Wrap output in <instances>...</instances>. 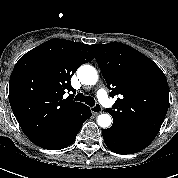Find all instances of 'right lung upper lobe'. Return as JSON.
<instances>
[{"mask_svg":"<svg viewBox=\"0 0 178 178\" xmlns=\"http://www.w3.org/2000/svg\"><path fill=\"white\" fill-rule=\"evenodd\" d=\"M94 59L90 45L51 39L27 52L16 63L9 81V101L25 135L35 144L70 134L85 109L66 99L73 91L71 77L84 63Z\"/></svg>","mask_w":178,"mask_h":178,"instance_id":"right-lung-upper-lobe-1","label":"right lung upper lobe"}]
</instances>
